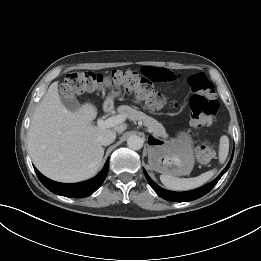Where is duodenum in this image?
Here are the masks:
<instances>
[{
  "label": "duodenum",
  "mask_w": 261,
  "mask_h": 261,
  "mask_svg": "<svg viewBox=\"0 0 261 261\" xmlns=\"http://www.w3.org/2000/svg\"><path fill=\"white\" fill-rule=\"evenodd\" d=\"M104 109H105V111H109L110 106H109V105H106Z\"/></svg>",
  "instance_id": "1"
}]
</instances>
